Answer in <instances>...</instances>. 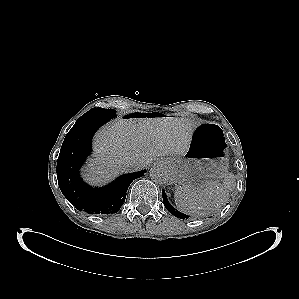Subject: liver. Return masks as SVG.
Listing matches in <instances>:
<instances>
[{"label":"liver","mask_w":299,"mask_h":299,"mask_svg":"<svg viewBox=\"0 0 299 299\" xmlns=\"http://www.w3.org/2000/svg\"><path fill=\"white\" fill-rule=\"evenodd\" d=\"M198 124L185 117L118 119L96 134V158L90 160L84 177L91 184H102L134 170L130 167L134 161L143 163V168L156 157L182 155Z\"/></svg>","instance_id":"obj_1"}]
</instances>
